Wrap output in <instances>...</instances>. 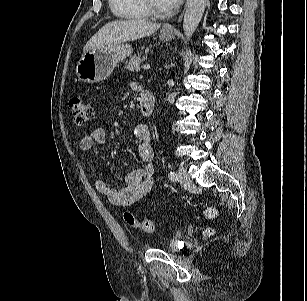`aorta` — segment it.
<instances>
[{"label":"aorta","mask_w":307,"mask_h":301,"mask_svg":"<svg viewBox=\"0 0 307 301\" xmlns=\"http://www.w3.org/2000/svg\"><path fill=\"white\" fill-rule=\"evenodd\" d=\"M208 0H188L187 8L183 19V30L186 37V43L190 40L196 28L198 27ZM169 80L168 83H172Z\"/></svg>","instance_id":"762f6f07"}]
</instances>
